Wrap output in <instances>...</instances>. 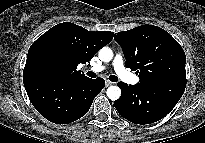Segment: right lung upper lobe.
I'll use <instances>...</instances> for the list:
<instances>
[{
  "mask_svg": "<svg viewBox=\"0 0 205 143\" xmlns=\"http://www.w3.org/2000/svg\"><path fill=\"white\" fill-rule=\"evenodd\" d=\"M109 31H88L70 22L60 23L29 48L23 76L32 73H50L68 79L87 78L77 66L90 61L113 39Z\"/></svg>",
  "mask_w": 205,
  "mask_h": 143,
  "instance_id": "cb5924a9",
  "label": "right lung upper lobe"
}]
</instances>
